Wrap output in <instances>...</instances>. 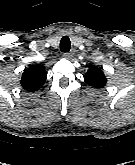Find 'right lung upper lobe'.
Returning <instances> with one entry per match:
<instances>
[{"label":"right lung upper lobe","instance_id":"cb5924a9","mask_svg":"<svg viewBox=\"0 0 135 165\" xmlns=\"http://www.w3.org/2000/svg\"><path fill=\"white\" fill-rule=\"evenodd\" d=\"M46 80L45 67L32 65L26 68L22 74L21 86L30 92L39 90Z\"/></svg>","mask_w":135,"mask_h":165}]
</instances>
